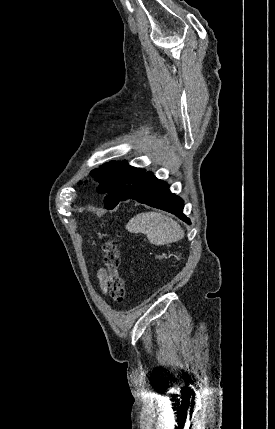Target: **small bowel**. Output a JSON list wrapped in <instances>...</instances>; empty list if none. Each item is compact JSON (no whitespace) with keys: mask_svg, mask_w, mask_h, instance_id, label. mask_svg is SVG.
Returning <instances> with one entry per match:
<instances>
[{"mask_svg":"<svg viewBox=\"0 0 275 429\" xmlns=\"http://www.w3.org/2000/svg\"><path fill=\"white\" fill-rule=\"evenodd\" d=\"M98 279L100 282V286L102 288L103 291L107 290V285H106V281H107V272L104 269H100L98 271Z\"/></svg>","mask_w":275,"mask_h":429,"instance_id":"1","label":"small bowel"}]
</instances>
